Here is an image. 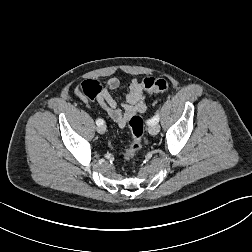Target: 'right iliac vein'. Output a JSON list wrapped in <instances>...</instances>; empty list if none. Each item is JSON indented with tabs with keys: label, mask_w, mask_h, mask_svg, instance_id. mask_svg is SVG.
<instances>
[{
	"label": "right iliac vein",
	"mask_w": 252,
	"mask_h": 252,
	"mask_svg": "<svg viewBox=\"0 0 252 252\" xmlns=\"http://www.w3.org/2000/svg\"><path fill=\"white\" fill-rule=\"evenodd\" d=\"M97 131H98V133H100V134L104 133V132L106 131V126H105L104 124L99 125V126L97 127Z\"/></svg>",
	"instance_id": "right-iliac-vein-1"
}]
</instances>
